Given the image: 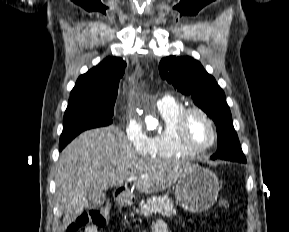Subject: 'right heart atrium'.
Masks as SVG:
<instances>
[{
    "mask_svg": "<svg viewBox=\"0 0 289 232\" xmlns=\"http://www.w3.org/2000/svg\"><path fill=\"white\" fill-rule=\"evenodd\" d=\"M124 134L128 143L136 153L140 155H147L150 153V137L145 133L137 118L133 116H128L126 118Z\"/></svg>",
    "mask_w": 289,
    "mask_h": 232,
    "instance_id": "right-heart-atrium-1",
    "label": "right heart atrium"
}]
</instances>
